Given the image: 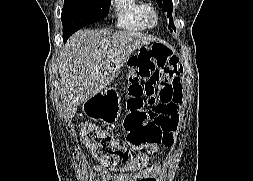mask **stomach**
Returning <instances> with one entry per match:
<instances>
[{"instance_id":"stomach-1","label":"stomach","mask_w":253,"mask_h":181,"mask_svg":"<svg viewBox=\"0 0 253 181\" xmlns=\"http://www.w3.org/2000/svg\"><path fill=\"white\" fill-rule=\"evenodd\" d=\"M114 89L109 88L104 93H98L83 103L84 114L91 119L102 120L106 123L115 122L120 115V102ZM102 97H107L103 99ZM111 98V99H109Z\"/></svg>"}]
</instances>
